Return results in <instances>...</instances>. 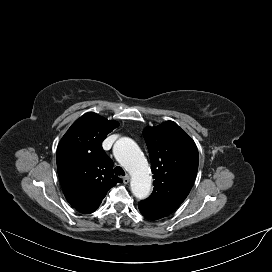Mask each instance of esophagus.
<instances>
[{
	"label": "esophagus",
	"instance_id": "34e87169",
	"mask_svg": "<svg viewBox=\"0 0 272 272\" xmlns=\"http://www.w3.org/2000/svg\"><path fill=\"white\" fill-rule=\"evenodd\" d=\"M123 182L124 184H128L130 182V176L129 175H126L124 178H123Z\"/></svg>",
	"mask_w": 272,
	"mask_h": 272
}]
</instances>
